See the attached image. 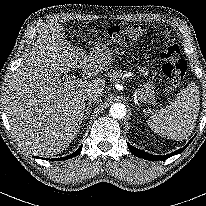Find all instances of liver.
I'll use <instances>...</instances> for the list:
<instances>
[{
  "mask_svg": "<svg viewBox=\"0 0 206 206\" xmlns=\"http://www.w3.org/2000/svg\"><path fill=\"white\" fill-rule=\"evenodd\" d=\"M60 24L46 23L6 91V113L18 142L34 155H56L78 134L86 109L85 95L102 97L105 80L65 85L62 74L80 68L99 72L109 64L100 47L89 53L65 39Z\"/></svg>",
  "mask_w": 206,
  "mask_h": 206,
  "instance_id": "6515ba94",
  "label": "liver"
}]
</instances>
